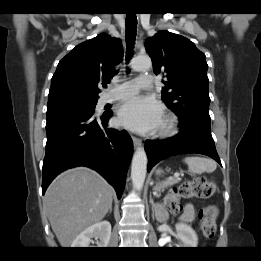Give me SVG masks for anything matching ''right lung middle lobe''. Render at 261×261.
<instances>
[{"label":"right lung middle lobe","instance_id":"dd1d6c3e","mask_svg":"<svg viewBox=\"0 0 261 261\" xmlns=\"http://www.w3.org/2000/svg\"><path fill=\"white\" fill-rule=\"evenodd\" d=\"M96 104V99L81 98L69 95L57 96L48 99L47 116L66 111L94 113Z\"/></svg>","mask_w":261,"mask_h":261}]
</instances>
